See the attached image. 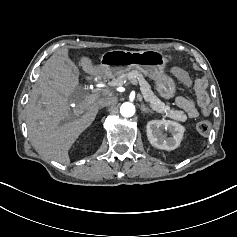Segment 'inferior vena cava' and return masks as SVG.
<instances>
[{
	"label": "inferior vena cava",
	"mask_w": 237,
	"mask_h": 237,
	"mask_svg": "<svg viewBox=\"0 0 237 237\" xmlns=\"http://www.w3.org/2000/svg\"><path fill=\"white\" fill-rule=\"evenodd\" d=\"M115 102H116V98H114V97L102 98L101 99V107L111 106V105L115 104Z\"/></svg>",
	"instance_id": "inferior-vena-cava-1"
}]
</instances>
